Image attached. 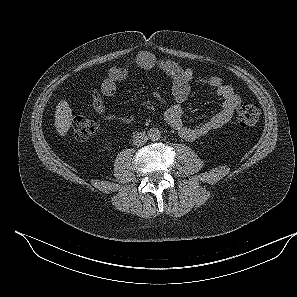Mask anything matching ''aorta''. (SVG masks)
<instances>
[{"instance_id": "obj_1", "label": "aorta", "mask_w": 297, "mask_h": 297, "mask_svg": "<svg viewBox=\"0 0 297 297\" xmlns=\"http://www.w3.org/2000/svg\"><path fill=\"white\" fill-rule=\"evenodd\" d=\"M148 137L151 141H157L161 137V132L158 128H151L148 131Z\"/></svg>"}]
</instances>
